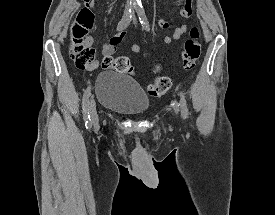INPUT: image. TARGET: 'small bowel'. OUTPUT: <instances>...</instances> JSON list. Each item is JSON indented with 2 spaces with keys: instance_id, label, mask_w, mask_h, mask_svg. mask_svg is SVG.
Returning a JSON list of instances; mask_svg holds the SVG:
<instances>
[{
  "instance_id": "small-bowel-1",
  "label": "small bowel",
  "mask_w": 275,
  "mask_h": 215,
  "mask_svg": "<svg viewBox=\"0 0 275 215\" xmlns=\"http://www.w3.org/2000/svg\"><path fill=\"white\" fill-rule=\"evenodd\" d=\"M179 3V12L183 19L187 20L191 14H192V0H178ZM97 7V0H91L90 2V8H96ZM158 25L162 28H168L169 23L166 20H159ZM188 29V23L185 21L179 26H177L171 34L165 36L164 43L169 44L173 40H178L182 37V35L187 31ZM125 37V32L123 30H120L119 33L112 36V38L109 40L108 43L104 44L102 46V55H110L112 54L119 43L123 40ZM88 42L92 45L93 44V38L91 36L88 37ZM131 50L135 54L140 53V47L137 44L131 45ZM149 52H145L143 54L144 57L149 56ZM99 66L98 60H93L88 66H86L87 70H94Z\"/></svg>"
}]
</instances>
